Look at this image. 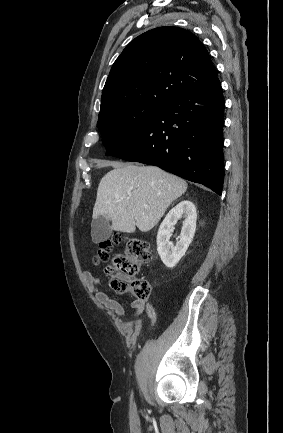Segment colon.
Listing matches in <instances>:
<instances>
[{
	"mask_svg": "<svg viewBox=\"0 0 283 433\" xmlns=\"http://www.w3.org/2000/svg\"><path fill=\"white\" fill-rule=\"evenodd\" d=\"M123 240L121 235H116L112 240H106L99 244L97 253L93 257L95 264L106 262L114 244ZM152 258L150 245L140 239H128L125 242V250L112 259L107 268L111 275V287L119 293H129L137 299H147L151 293V286L144 279H132L139 273L141 267Z\"/></svg>",
	"mask_w": 283,
	"mask_h": 433,
	"instance_id": "colon-1",
	"label": "colon"
}]
</instances>
